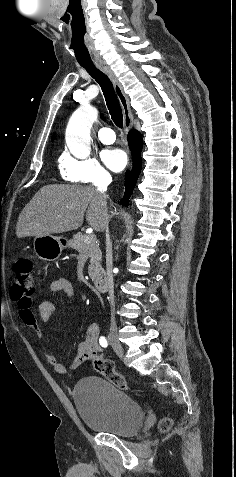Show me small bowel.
<instances>
[{
	"mask_svg": "<svg viewBox=\"0 0 236 477\" xmlns=\"http://www.w3.org/2000/svg\"><path fill=\"white\" fill-rule=\"evenodd\" d=\"M48 292L57 295L64 293L68 298L74 296V287L72 283L65 277H58L51 281L48 286ZM56 310V304L53 301H42L37 307V316L30 309H19V316L23 322L34 330H39L38 319L42 323H46ZM99 325L95 322L90 323L86 327L85 338L79 343L74 351L73 358L69 365H65L57 359L56 355L48 347L43 349V355L48 364H50L54 371L58 374L72 377V369L77 368L87 361H93L96 357H100L102 347L98 340Z\"/></svg>",
	"mask_w": 236,
	"mask_h": 477,
	"instance_id": "1",
	"label": "small bowel"
}]
</instances>
